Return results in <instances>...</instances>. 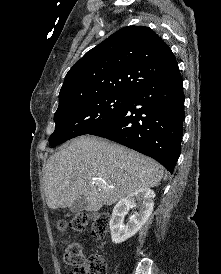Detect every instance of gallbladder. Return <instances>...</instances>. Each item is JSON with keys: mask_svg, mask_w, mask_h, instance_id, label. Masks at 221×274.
Wrapping results in <instances>:
<instances>
[{"mask_svg": "<svg viewBox=\"0 0 221 274\" xmlns=\"http://www.w3.org/2000/svg\"><path fill=\"white\" fill-rule=\"evenodd\" d=\"M87 206V201L85 199L84 196H82L81 198H78L77 200H75L71 205H70V211L73 213H79L83 210H85Z\"/></svg>", "mask_w": 221, "mask_h": 274, "instance_id": "bac80fb5", "label": "gallbladder"}]
</instances>
